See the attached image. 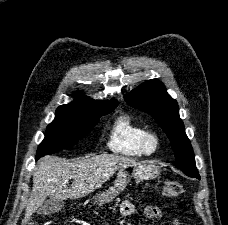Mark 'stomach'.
Listing matches in <instances>:
<instances>
[{"mask_svg":"<svg viewBox=\"0 0 228 225\" xmlns=\"http://www.w3.org/2000/svg\"><path fill=\"white\" fill-rule=\"evenodd\" d=\"M154 175V167H148V165H140V163H137V165H132L131 177H134L136 181L151 179V177H154ZM129 181V173H127V171H124V169H119L113 187H109L108 191H105V193H99L95 199V203H97V205H105V203H110V201H113V199H115V197H117V195H119V193L125 189Z\"/></svg>","mask_w":228,"mask_h":225,"instance_id":"0dacf381","label":"stomach"}]
</instances>
